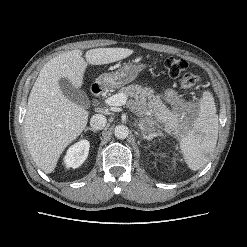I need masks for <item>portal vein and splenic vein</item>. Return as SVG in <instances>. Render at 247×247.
Masks as SVG:
<instances>
[{"label": "portal vein and splenic vein", "instance_id": "obj_1", "mask_svg": "<svg viewBox=\"0 0 247 247\" xmlns=\"http://www.w3.org/2000/svg\"><path fill=\"white\" fill-rule=\"evenodd\" d=\"M127 101V97L123 93L115 94L104 100L105 105L107 106H122L125 105ZM150 115V113L148 112Z\"/></svg>", "mask_w": 247, "mask_h": 247}]
</instances>
